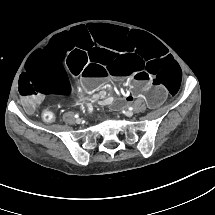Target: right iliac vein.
Returning a JSON list of instances; mask_svg holds the SVG:
<instances>
[{
  "label": "right iliac vein",
  "mask_w": 215,
  "mask_h": 215,
  "mask_svg": "<svg viewBox=\"0 0 215 215\" xmlns=\"http://www.w3.org/2000/svg\"><path fill=\"white\" fill-rule=\"evenodd\" d=\"M76 123H78V124L81 123V120H80V119H77V120H76Z\"/></svg>",
  "instance_id": "obj_1"
}]
</instances>
